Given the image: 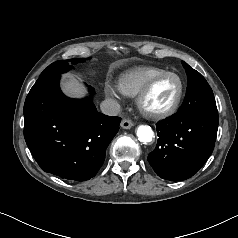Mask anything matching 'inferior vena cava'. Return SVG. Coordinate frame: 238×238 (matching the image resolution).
<instances>
[{"label":"inferior vena cava","instance_id":"obj_1","mask_svg":"<svg viewBox=\"0 0 238 238\" xmlns=\"http://www.w3.org/2000/svg\"><path fill=\"white\" fill-rule=\"evenodd\" d=\"M100 109L105 115L115 116L120 112L121 107L116 100L108 98L101 102Z\"/></svg>","mask_w":238,"mask_h":238}]
</instances>
